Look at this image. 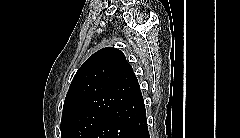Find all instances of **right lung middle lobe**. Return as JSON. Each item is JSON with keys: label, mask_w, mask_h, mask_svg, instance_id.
I'll return each instance as SVG.
<instances>
[{"label": "right lung middle lobe", "mask_w": 240, "mask_h": 138, "mask_svg": "<svg viewBox=\"0 0 240 138\" xmlns=\"http://www.w3.org/2000/svg\"><path fill=\"white\" fill-rule=\"evenodd\" d=\"M107 114L100 111H84L62 118L61 138H86Z\"/></svg>", "instance_id": "1"}]
</instances>
